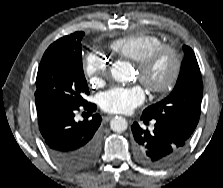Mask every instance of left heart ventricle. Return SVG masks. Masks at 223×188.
<instances>
[{
    "label": "left heart ventricle",
    "instance_id": "left-heart-ventricle-1",
    "mask_svg": "<svg viewBox=\"0 0 223 188\" xmlns=\"http://www.w3.org/2000/svg\"><path fill=\"white\" fill-rule=\"evenodd\" d=\"M172 60L169 54H165L157 61L149 74V80L153 83H162L170 75ZM139 76V73H138Z\"/></svg>",
    "mask_w": 223,
    "mask_h": 188
}]
</instances>
